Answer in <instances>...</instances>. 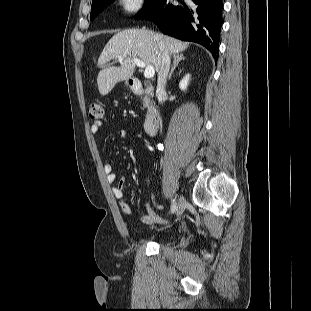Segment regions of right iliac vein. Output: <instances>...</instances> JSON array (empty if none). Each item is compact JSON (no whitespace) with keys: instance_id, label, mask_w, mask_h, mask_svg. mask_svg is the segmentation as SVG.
Listing matches in <instances>:
<instances>
[{"instance_id":"63e3f726","label":"right iliac vein","mask_w":311,"mask_h":311,"mask_svg":"<svg viewBox=\"0 0 311 311\" xmlns=\"http://www.w3.org/2000/svg\"><path fill=\"white\" fill-rule=\"evenodd\" d=\"M185 199L183 196H180L179 200H178V204L176 207V215L179 217L183 214L184 210H185Z\"/></svg>"}]
</instances>
